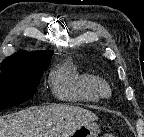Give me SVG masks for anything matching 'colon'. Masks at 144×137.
<instances>
[{
    "label": "colon",
    "mask_w": 144,
    "mask_h": 137,
    "mask_svg": "<svg viewBox=\"0 0 144 137\" xmlns=\"http://www.w3.org/2000/svg\"><path fill=\"white\" fill-rule=\"evenodd\" d=\"M104 137H114V136H112V135H105Z\"/></svg>",
    "instance_id": "obj_1"
}]
</instances>
